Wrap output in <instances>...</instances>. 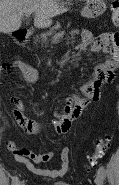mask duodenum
<instances>
[{
    "label": "duodenum",
    "mask_w": 119,
    "mask_h": 185,
    "mask_svg": "<svg viewBox=\"0 0 119 185\" xmlns=\"http://www.w3.org/2000/svg\"><path fill=\"white\" fill-rule=\"evenodd\" d=\"M15 39L17 43L24 44L27 41L28 33L25 30H18L15 32Z\"/></svg>",
    "instance_id": "duodenum-1"
}]
</instances>
